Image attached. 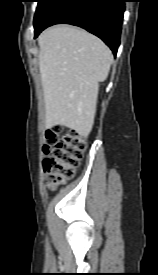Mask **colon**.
I'll return each instance as SVG.
<instances>
[{
    "mask_svg": "<svg viewBox=\"0 0 158 275\" xmlns=\"http://www.w3.org/2000/svg\"><path fill=\"white\" fill-rule=\"evenodd\" d=\"M84 150L85 140L77 131L63 130L60 126L46 131L43 167L46 182L51 189L74 176Z\"/></svg>",
    "mask_w": 158,
    "mask_h": 275,
    "instance_id": "5ec220e1",
    "label": "colon"
}]
</instances>
